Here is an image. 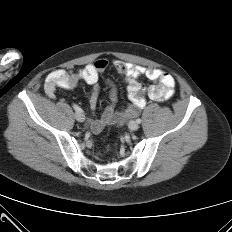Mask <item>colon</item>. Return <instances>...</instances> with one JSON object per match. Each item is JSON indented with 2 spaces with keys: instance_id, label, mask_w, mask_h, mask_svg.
<instances>
[{
  "instance_id": "colon-1",
  "label": "colon",
  "mask_w": 232,
  "mask_h": 232,
  "mask_svg": "<svg viewBox=\"0 0 232 232\" xmlns=\"http://www.w3.org/2000/svg\"><path fill=\"white\" fill-rule=\"evenodd\" d=\"M134 115V110L133 109H128L127 110V113H124V114H119L118 115V122L116 124V129L117 130H122L123 127H124V123H127L128 120L130 119V116H133Z\"/></svg>"
}]
</instances>
